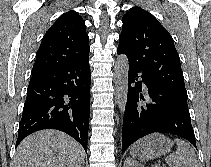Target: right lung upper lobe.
<instances>
[{"label":"right lung upper lobe","mask_w":211,"mask_h":167,"mask_svg":"<svg viewBox=\"0 0 211 167\" xmlns=\"http://www.w3.org/2000/svg\"><path fill=\"white\" fill-rule=\"evenodd\" d=\"M89 51L83 19L76 11L64 13L46 32L31 75L83 61L88 58Z\"/></svg>","instance_id":"right-lung-upper-lobe-1"}]
</instances>
